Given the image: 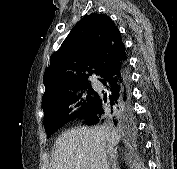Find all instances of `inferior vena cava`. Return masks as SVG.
Here are the masks:
<instances>
[{
    "instance_id": "602c4592",
    "label": "inferior vena cava",
    "mask_w": 177,
    "mask_h": 169,
    "mask_svg": "<svg viewBox=\"0 0 177 169\" xmlns=\"http://www.w3.org/2000/svg\"><path fill=\"white\" fill-rule=\"evenodd\" d=\"M109 150H112V147L111 146H109V148H108Z\"/></svg>"
}]
</instances>
